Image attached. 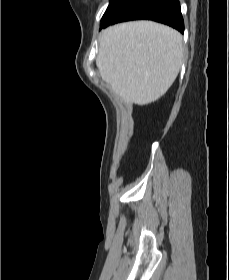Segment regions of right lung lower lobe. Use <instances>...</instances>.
<instances>
[{
    "label": "right lung lower lobe",
    "instance_id": "obj_1",
    "mask_svg": "<svg viewBox=\"0 0 229 280\" xmlns=\"http://www.w3.org/2000/svg\"><path fill=\"white\" fill-rule=\"evenodd\" d=\"M147 19L169 25L181 33L184 22L178 0H116L110 12L102 20L101 27L111 24Z\"/></svg>",
    "mask_w": 229,
    "mask_h": 280
}]
</instances>
